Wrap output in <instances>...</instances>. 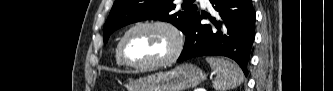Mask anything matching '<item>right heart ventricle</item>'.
I'll return each instance as SVG.
<instances>
[{
    "instance_id": "e07e8e85",
    "label": "right heart ventricle",
    "mask_w": 333,
    "mask_h": 91,
    "mask_svg": "<svg viewBox=\"0 0 333 91\" xmlns=\"http://www.w3.org/2000/svg\"><path fill=\"white\" fill-rule=\"evenodd\" d=\"M119 43H120V40L118 41L117 45H116V49H115V60L117 62L118 65L120 66H126L124 64V62L122 61V59L120 58V55H119Z\"/></svg>"
}]
</instances>
